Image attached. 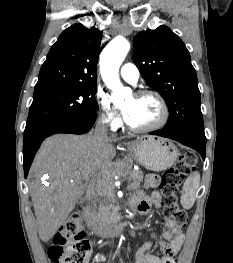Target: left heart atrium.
<instances>
[{
    "label": "left heart atrium",
    "mask_w": 233,
    "mask_h": 263,
    "mask_svg": "<svg viewBox=\"0 0 233 263\" xmlns=\"http://www.w3.org/2000/svg\"><path fill=\"white\" fill-rule=\"evenodd\" d=\"M123 117H124V120L129 123L130 122V119H131V113L130 111H124L123 112Z\"/></svg>",
    "instance_id": "obj_1"
}]
</instances>
